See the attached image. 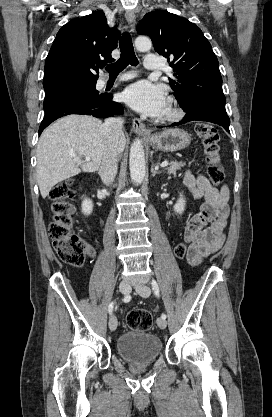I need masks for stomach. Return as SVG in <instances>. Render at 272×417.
I'll return each mask as SVG.
<instances>
[{"label": "stomach", "mask_w": 272, "mask_h": 417, "mask_svg": "<svg viewBox=\"0 0 272 417\" xmlns=\"http://www.w3.org/2000/svg\"><path fill=\"white\" fill-rule=\"evenodd\" d=\"M148 142L156 150L174 152L186 148L191 142V137L183 129L170 128L152 135Z\"/></svg>", "instance_id": "1"}]
</instances>
